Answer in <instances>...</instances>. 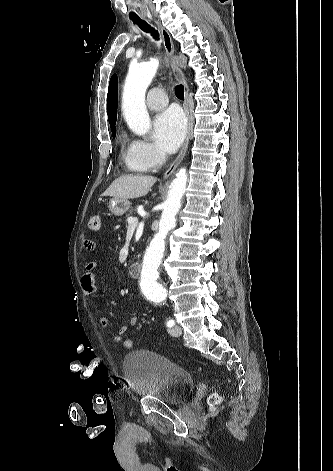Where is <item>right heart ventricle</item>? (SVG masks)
Returning a JSON list of instances; mask_svg holds the SVG:
<instances>
[{
	"label": "right heart ventricle",
	"mask_w": 333,
	"mask_h": 471,
	"mask_svg": "<svg viewBox=\"0 0 333 471\" xmlns=\"http://www.w3.org/2000/svg\"><path fill=\"white\" fill-rule=\"evenodd\" d=\"M124 159L130 170L138 173L145 172V170L138 166L132 159L129 152V147L124 151Z\"/></svg>",
	"instance_id": "right-heart-ventricle-1"
}]
</instances>
